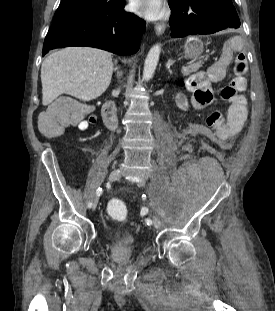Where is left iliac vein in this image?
Segmentation results:
<instances>
[{"instance_id": "left-iliac-vein-1", "label": "left iliac vein", "mask_w": 275, "mask_h": 311, "mask_svg": "<svg viewBox=\"0 0 275 311\" xmlns=\"http://www.w3.org/2000/svg\"><path fill=\"white\" fill-rule=\"evenodd\" d=\"M143 184H144L143 181L139 182V185H143ZM152 222H153V225H154L155 228H157V229L161 228L162 223H161V220H160L159 217L153 216L152 217Z\"/></svg>"}]
</instances>
